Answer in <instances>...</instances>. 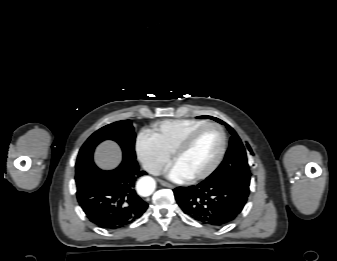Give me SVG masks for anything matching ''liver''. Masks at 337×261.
<instances>
[{
  "mask_svg": "<svg viewBox=\"0 0 337 261\" xmlns=\"http://www.w3.org/2000/svg\"><path fill=\"white\" fill-rule=\"evenodd\" d=\"M95 162L103 169L115 168L121 160V151L118 145L112 141H106L97 147Z\"/></svg>",
  "mask_w": 337,
  "mask_h": 261,
  "instance_id": "1",
  "label": "liver"
}]
</instances>
